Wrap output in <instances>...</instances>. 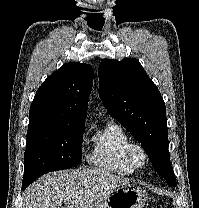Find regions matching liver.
<instances>
[{"instance_id":"1","label":"liver","mask_w":199,"mask_h":208,"mask_svg":"<svg viewBox=\"0 0 199 208\" xmlns=\"http://www.w3.org/2000/svg\"><path fill=\"white\" fill-rule=\"evenodd\" d=\"M130 180L103 169L48 173L26 188L24 208H94Z\"/></svg>"}]
</instances>
